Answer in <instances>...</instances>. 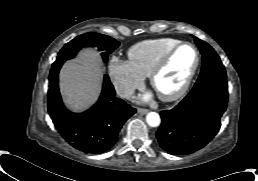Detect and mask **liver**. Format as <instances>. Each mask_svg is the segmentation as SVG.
<instances>
[{
	"label": "liver",
	"mask_w": 258,
	"mask_h": 181,
	"mask_svg": "<svg viewBox=\"0 0 258 181\" xmlns=\"http://www.w3.org/2000/svg\"><path fill=\"white\" fill-rule=\"evenodd\" d=\"M102 71L99 54L93 49L81 51L76 61L64 64L60 71V91L69 109L86 110L98 99Z\"/></svg>",
	"instance_id": "liver-1"
}]
</instances>
